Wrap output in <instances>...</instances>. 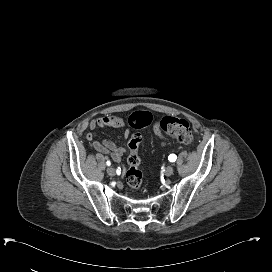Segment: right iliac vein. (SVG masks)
<instances>
[{
    "label": "right iliac vein",
    "instance_id": "63e3f726",
    "mask_svg": "<svg viewBox=\"0 0 272 272\" xmlns=\"http://www.w3.org/2000/svg\"><path fill=\"white\" fill-rule=\"evenodd\" d=\"M107 174H108L109 176H114V175L116 174V171H115L114 168L109 167V168L107 169Z\"/></svg>",
    "mask_w": 272,
    "mask_h": 272
}]
</instances>
